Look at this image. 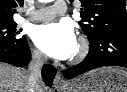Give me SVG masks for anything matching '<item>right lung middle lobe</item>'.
<instances>
[{
  "label": "right lung middle lobe",
  "mask_w": 127,
  "mask_h": 92,
  "mask_svg": "<svg viewBox=\"0 0 127 92\" xmlns=\"http://www.w3.org/2000/svg\"><path fill=\"white\" fill-rule=\"evenodd\" d=\"M17 24L13 23H6L0 24V43H9L12 45L21 46L27 42L25 36H19V31H16Z\"/></svg>",
  "instance_id": "1"
}]
</instances>
